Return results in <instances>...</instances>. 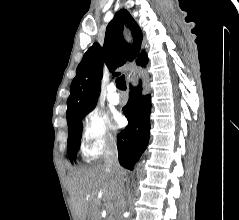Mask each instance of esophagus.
<instances>
[{
    "label": "esophagus",
    "instance_id": "34e87169",
    "mask_svg": "<svg viewBox=\"0 0 239 220\" xmlns=\"http://www.w3.org/2000/svg\"><path fill=\"white\" fill-rule=\"evenodd\" d=\"M123 27L125 29V31H124L125 33L127 32L126 30L130 29L129 27H126L125 25ZM125 35L129 36L130 34L126 33ZM126 39H127L126 40L127 42L129 41V39L132 42L134 38L127 37ZM129 45L132 46L133 44L130 43ZM127 72H128V74H130V80H131L130 87H132V92H139V83H138V79H137V72H135L134 67H127Z\"/></svg>",
    "mask_w": 239,
    "mask_h": 220
}]
</instances>
